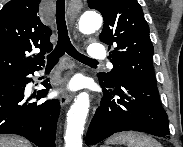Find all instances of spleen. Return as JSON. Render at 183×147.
<instances>
[{"label":"spleen","instance_id":"3e777b00","mask_svg":"<svg viewBox=\"0 0 183 147\" xmlns=\"http://www.w3.org/2000/svg\"><path fill=\"white\" fill-rule=\"evenodd\" d=\"M106 144H125L127 147H161V144L150 136L124 132L110 137Z\"/></svg>","mask_w":183,"mask_h":147}]
</instances>
